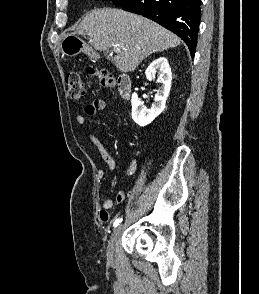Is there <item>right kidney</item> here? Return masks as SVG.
Instances as JSON below:
<instances>
[{"mask_svg": "<svg viewBox=\"0 0 259 294\" xmlns=\"http://www.w3.org/2000/svg\"><path fill=\"white\" fill-rule=\"evenodd\" d=\"M158 74V82L162 86L157 90L154 103L151 109H147L138 98L137 93L131 97L132 119L139 126H145L151 123L165 109L167 97L171 88L172 73L168 60L165 57H159L154 60L146 69L145 75L147 80L151 81L155 74Z\"/></svg>", "mask_w": 259, "mask_h": 294, "instance_id": "1", "label": "right kidney"}]
</instances>
